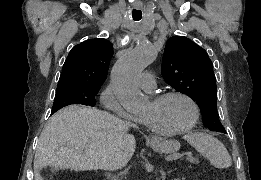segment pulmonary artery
Masks as SVG:
<instances>
[{
	"instance_id": "e3ab8cb5",
	"label": "pulmonary artery",
	"mask_w": 261,
	"mask_h": 180,
	"mask_svg": "<svg viewBox=\"0 0 261 180\" xmlns=\"http://www.w3.org/2000/svg\"><path fill=\"white\" fill-rule=\"evenodd\" d=\"M139 83H140V88H147V89L155 88L156 86L155 75L152 72L145 70V73H141V75L139 76Z\"/></svg>"
}]
</instances>
